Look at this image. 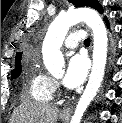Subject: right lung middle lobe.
Segmentation results:
<instances>
[{
	"label": "right lung middle lobe",
	"instance_id": "1",
	"mask_svg": "<svg viewBox=\"0 0 122 123\" xmlns=\"http://www.w3.org/2000/svg\"><path fill=\"white\" fill-rule=\"evenodd\" d=\"M21 74V65L16 66L14 70H12L11 73V79H15L17 77H19Z\"/></svg>",
	"mask_w": 122,
	"mask_h": 123
}]
</instances>
